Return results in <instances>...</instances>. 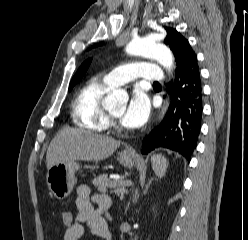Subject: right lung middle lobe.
Returning <instances> with one entry per match:
<instances>
[{"label": "right lung middle lobe", "mask_w": 248, "mask_h": 240, "mask_svg": "<svg viewBox=\"0 0 248 240\" xmlns=\"http://www.w3.org/2000/svg\"><path fill=\"white\" fill-rule=\"evenodd\" d=\"M76 84V82H72L70 83V86H69V91L73 88V86Z\"/></svg>", "instance_id": "1"}]
</instances>
